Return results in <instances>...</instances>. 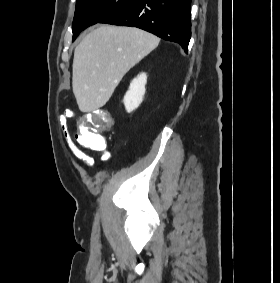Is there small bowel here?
Segmentation results:
<instances>
[{
    "instance_id": "c3829d8e",
    "label": "small bowel",
    "mask_w": 280,
    "mask_h": 283,
    "mask_svg": "<svg viewBox=\"0 0 280 283\" xmlns=\"http://www.w3.org/2000/svg\"><path fill=\"white\" fill-rule=\"evenodd\" d=\"M74 113H64L60 118V126L63 132L64 140L71 151V153L82 163L87 166L91 167L94 163V159L83 152L73 141L70 130H69V122L73 119ZM110 159V153L107 151H103L100 153V160L102 162H107Z\"/></svg>"
}]
</instances>
